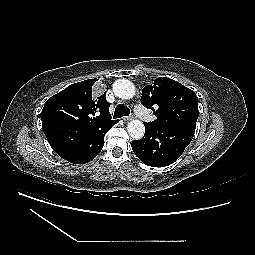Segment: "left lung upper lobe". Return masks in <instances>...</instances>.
Segmentation results:
<instances>
[{"instance_id": "left-lung-upper-lobe-1", "label": "left lung upper lobe", "mask_w": 255, "mask_h": 255, "mask_svg": "<svg viewBox=\"0 0 255 255\" xmlns=\"http://www.w3.org/2000/svg\"><path fill=\"white\" fill-rule=\"evenodd\" d=\"M141 103L157 117L149 123L195 132L198 119V98L189 88L175 80L158 77L153 85L142 90Z\"/></svg>"}]
</instances>
